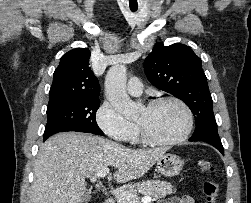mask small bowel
Returning <instances> with one entry per match:
<instances>
[{"instance_id":"obj_1","label":"small bowel","mask_w":251,"mask_h":203,"mask_svg":"<svg viewBox=\"0 0 251 203\" xmlns=\"http://www.w3.org/2000/svg\"><path fill=\"white\" fill-rule=\"evenodd\" d=\"M159 203H195V201L191 197L184 196V197H180V198L171 197V198H168L167 200L161 201Z\"/></svg>"}]
</instances>
